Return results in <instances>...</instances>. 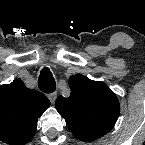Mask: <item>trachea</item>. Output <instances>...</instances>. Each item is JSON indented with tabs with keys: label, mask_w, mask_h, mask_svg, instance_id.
Returning <instances> with one entry per match:
<instances>
[{
	"label": "trachea",
	"mask_w": 145,
	"mask_h": 145,
	"mask_svg": "<svg viewBox=\"0 0 145 145\" xmlns=\"http://www.w3.org/2000/svg\"><path fill=\"white\" fill-rule=\"evenodd\" d=\"M38 86L45 93H52L56 89V83L51 74L41 76Z\"/></svg>",
	"instance_id": "3493384b"
}]
</instances>
